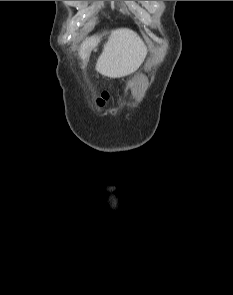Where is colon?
<instances>
[{"mask_svg":"<svg viewBox=\"0 0 233 295\" xmlns=\"http://www.w3.org/2000/svg\"><path fill=\"white\" fill-rule=\"evenodd\" d=\"M110 98V91H104L101 97L98 99L99 106H105Z\"/></svg>","mask_w":233,"mask_h":295,"instance_id":"colon-1","label":"colon"}]
</instances>
